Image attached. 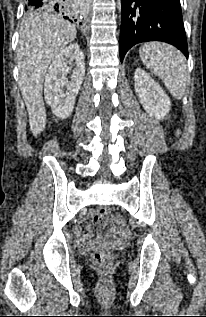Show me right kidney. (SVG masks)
<instances>
[{"label":"right kidney","instance_id":"ca27d5eb","mask_svg":"<svg viewBox=\"0 0 206 317\" xmlns=\"http://www.w3.org/2000/svg\"><path fill=\"white\" fill-rule=\"evenodd\" d=\"M71 81L66 80L69 72L68 64L73 63ZM85 76L84 54L77 43L70 44L56 55L46 74L44 95L53 113L59 118H68L74 108L76 96ZM67 88L62 93L63 87Z\"/></svg>","mask_w":206,"mask_h":317}]
</instances>
